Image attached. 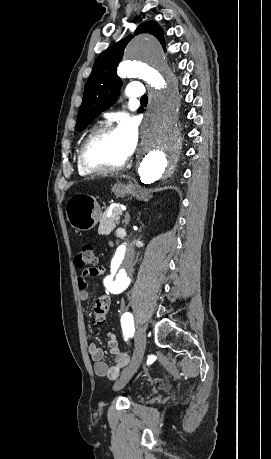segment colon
Masks as SVG:
<instances>
[{"mask_svg":"<svg viewBox=\"0 0 271 459\" xmlns=\"http://www.w3.org/2000/svg\"><path fill=\"white\" fill-rule=\"evenodd\" d=\"M75 265L78 267H93L97 263V257L94 247L91 244L83 245L81 251L75 257ZM110 308V297L108 295H101L95 300L93 308L94 323L97 326L105 322L107 313Z\"/></svg>","mask_w":271,"mask_h":459,"instance_id":"colon-1","label":"colon"}]
</instances>
